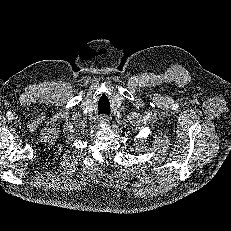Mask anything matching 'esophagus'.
<instances>
[{"label": "esophagus", "mask_w": 231, "mask_h": 231, "mask_svg": "<svg viewBox=\"0 0 231 231\" xmlns=\"http://www.w3.org/2000/svg\"><path fill=\"white\" fill-rule=\"evenodd\" d=\"M98 122L99 124L106 125L109 122V120L106 116L103 115L99 117Z\"/></svg>", "instance_id": "esophagus-1"}]
</instances>
